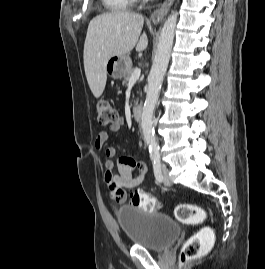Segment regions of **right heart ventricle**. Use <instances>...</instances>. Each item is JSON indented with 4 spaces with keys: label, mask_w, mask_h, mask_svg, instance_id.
<instances>
[{
    "label": "right heart ventricle",
    "mask_w": 265,
    "mask_h": 269,
    "mask_svg": "<svg viewBox=\"0 0 265 269\" xmlns=\"http://www.w3.org/2000/svg\"><path fill=\"white\" fill-rule=\"evenodd\" d=\"M111 11H124L130 9L136 0H102Z\"/></svg>",
    "instance_id": "1"
}]
</instances>
